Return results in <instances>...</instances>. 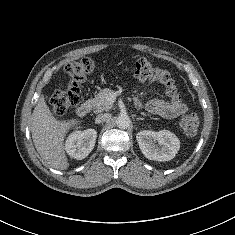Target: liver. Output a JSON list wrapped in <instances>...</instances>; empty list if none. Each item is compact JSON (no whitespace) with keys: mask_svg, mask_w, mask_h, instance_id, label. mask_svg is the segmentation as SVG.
<instances>
[{"mask_svg":"<svg viewBox=\"0 0 235 235\" xmlns=\"http://www.w3.org/2000/svg\"><path fill=\"white\" fill-rule=\"evenodd\" d=\"M78 124L76 119L57 120L44 97L39 98L31 117V133L36 150L49 166L59 170L68 168L64 138L67 132Z\"/></svg>","mask_w":235,"mask_h":235,"instance_id":"6515ba94","label":"liver"}]
</instances>
